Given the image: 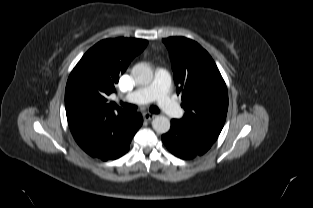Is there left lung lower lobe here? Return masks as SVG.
<instances>
[{
	"label": "left lung lower lobe",
	"instance_id": "0a47b994",
	"mask_svg": "<svg viewBox=\"0 0 313 208\" xmlns=\"http://www.w3.org/2000/svg\"><path fill=\"white\" fill-rule=\"evenodd\" d=\"M217 137L216 134L191 130L173 119L170 131L162 135V141L175 156L192 159L207 152Z\"/></svg>",
	"mask_w": 313,
	"mask_h": 208
}]
</instances>
